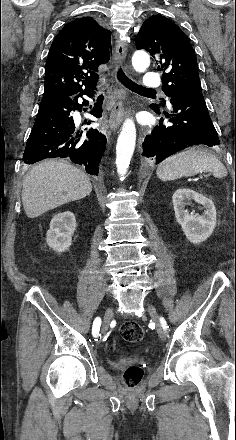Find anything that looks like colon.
<instances>
[{
    "instance_id": "5ec220e1",
    "label": "colon",
    "mask_w": 236,
    "mask_h": 440,
    "mask_svg": "<svg viewBox=\"0 0 236 440\" xmlns=\"http://www.w3.org/2000/svg\"><path fill=\"white\" fill-rule=\"evenodd\" d=\"M122 338L129 343H135L141 340L144 330L140 324L128 321L121 326ZM143 378V371L139 366H130L124 372V383L128 388L137 387Z\"/></svg>"
}]
</instances>
